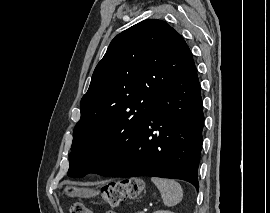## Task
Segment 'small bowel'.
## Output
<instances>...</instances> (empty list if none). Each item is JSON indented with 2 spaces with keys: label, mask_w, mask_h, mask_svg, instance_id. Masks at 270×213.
<instances>
[{
  "label": "small bowel",
  "mask_w": 270,
  "mask_h": 213,
  "mask_svg": "<svg viewBox=\"0 0 270 213\" xmlns=\"http://www.w3.org/2000/svg\"><path fill=\"white\" fill-rule=\"evenodd\" d=\"M106 213H116V212H114V211H107Z\"/></svg>",
  "instance_id": "c3829d8e"
}]
</instances>
